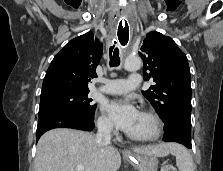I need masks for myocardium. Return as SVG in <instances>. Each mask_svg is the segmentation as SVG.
<instances>
[{
	"label": "myocardium",
	"instance_id": "myocardium-1",
	"mask_svg": "<svg viewBox=\"0 0 223 171\" xmlns=\"http://www.w3.org/2000/svg\"><path fill=\"white\" fill-rule=\"evenodd\" d=\"M141 114L149 117L153 121L154 126H155L154 133L147 137H136V136L127 134V137L133 141L142 142V143L152 142V141L157 140L163 132V122L160 116L156 112L151 111V110H142Z\"/></svg>",
	"mask_w": 223,
	"mask_h": 171
}]
</instances>
